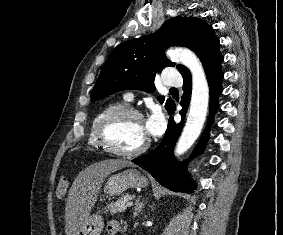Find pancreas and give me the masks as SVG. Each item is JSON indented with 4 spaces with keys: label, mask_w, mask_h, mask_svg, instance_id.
Here are the masks:
<instances>
[{
    "label": "pancreas",
    "mask_w": 283,
    "mask_h": 235,
    "mask_svg": "<svg viewBox=\"0 0 283 235\" xmlns=\"http://www.w3.org/2000/svg\"><path fill=\"white\" fill-rule=\"evenodd\" d=\"M133 199V195L127 193L119 197L116 201L111 202L106 206V212L115 214L117 212H123L126 210L128 203Z\"/></svg>",
    "instance_id": "obj_1"
}]
</instances>
